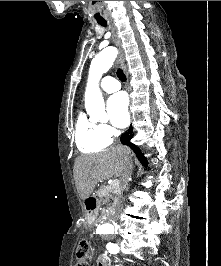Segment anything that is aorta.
Segmentation results:
<instances>
[{"mask_svg":"<svg viewBox=\"0 0 221 266\" xmlns=\"http://www.w3.org/2000/svg\"><path fill=\"white\" fill-rule=\"evenodd\" d=\"M117 56V50L113 47L106 48L98 53L91 61L89 75L85 91V108L92 120L106 118L105 104L99 88L102 75L112 66ZM103 233H110L114 228L110 224L98 226Z\"/></svg>","mask_w":221,"mask_h":266,"instance_id":"762f6f07","label":"aorta"}]
</instances>
